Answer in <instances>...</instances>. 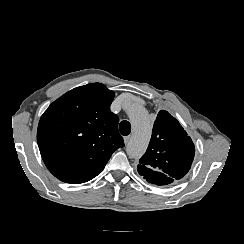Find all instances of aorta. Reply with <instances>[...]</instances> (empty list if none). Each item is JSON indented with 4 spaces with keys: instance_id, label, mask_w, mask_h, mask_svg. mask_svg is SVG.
I'll return each instance as SVG.
<instances>
[{
    "instance_id": "obj_1",
    "label": "aorta",
    "mask_w": 244,
    "mask_h": 244,
    "mask_svg": "<svg viewBox=\"0 0 244 244\" xmlns=\"http://www.w3.org/2000/svg\"><path fill=\"white\" fill-rule=\"evenodd\" d=\"M133 126V135L127 144L126 152L130 158H139L146 151L151 137V124L147 111L139 104L133 103L127 109Z\"/></svg>"
}]
</instances>
